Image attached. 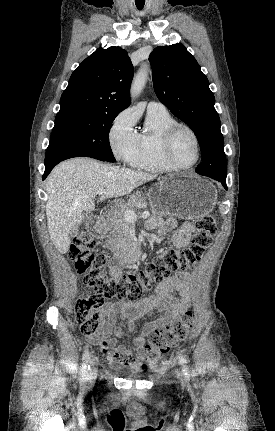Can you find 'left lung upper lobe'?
I'll return each mask as SVG.
<instances>
[{
    "label": "left lung upper lobe",
    "mask_w": 275,
    "mask_h": 431,
    "mask_svg": "<svg viewBox=\"0 0 275 431\" xmlns=\"http://www.w3.org/2000/svg\"><path fill=\"white\" fill-rule=\"evenodd\" d=\"M158 99L196 135L202 162L196 172L226 174L224 140L209 81L181 44L159 46L149 56Z\"/></svg>",
    "instance_id": "left-lung-upper-lobe-1"
}]
</instances>
